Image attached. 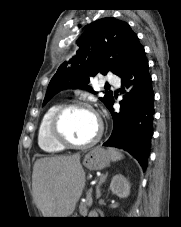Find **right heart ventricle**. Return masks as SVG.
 Returning <instances> with one entry per match:
<instances>
[{"label": "right heart ventricle", "mask_w": 181, "mask_h": 227, "mask_svg": "<svg viewBox=\"0 0 181 227\" xmlns=\"http://www.w3.org/2000/svg\"><path fill=\"white\" fill-rule=\"evenodd\" d=\"M60 104H53L43 114L38 129V145L46 153H60L64 150V146L57 143L50 134V122L52 116L60 107Z\"/></svg>", "instance_id": "1"}]
</instances>
